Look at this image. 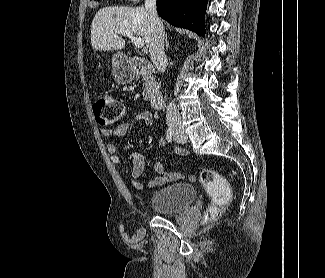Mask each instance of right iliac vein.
<instances>
[{
    "label": "right iliac vein",
    "mask_w": 325,
    "mask_h": 278,
    "mask_svg": "<svg viewBox=\"0 0 325 278\" xmlns=\"http://www.w3.org/2000/svg\"><path fill=\"white\" fill-rule=\"evenodd\" d=\"M181 132H182L181 130H177L176 131L177 134H181Z\"/></svg>",
    "instance_id": "obj_1"
}]
</instances>
